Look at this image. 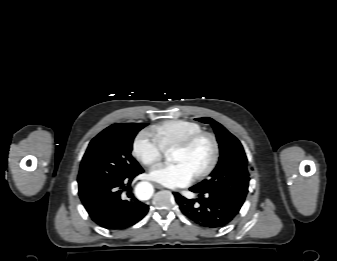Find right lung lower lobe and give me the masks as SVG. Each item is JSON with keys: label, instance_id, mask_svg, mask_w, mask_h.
<instances>
[{"label": "right lung lower lobe", "instance_id": "98d812e1", "mask_svg": "<svg viewBox=\"0 0 337 261\" xmlns=\"http://www.w3.org/2000/svg\"><path fill=\"white\" fill-rule=\"evenodd\" d=\"M142 172L143 169L80 196L95 223L109 230H122L134 225L147 214L149 206L138 201L130 187L134 177Z\"/></svg>", "mask_w": 337, "mask_h": 261}]
</instances>
